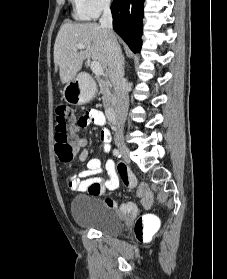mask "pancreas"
<instances>
[{"instance_id": "pancreas-1", "label": "pancreas", "mask_w": 227, "mask_h": 279, "mask_svg": "<svg viewBox=\"0 0 227 279\" xmlns=\"http://www.w3.org/2000/svg\"><path fill=\"white\" fill-rule=\"evenodd\" d=\"M97 80L100 87V93L102 94L103 105L105 108H109L115 103V97L111 88V84L101 79Z\"/></svg>"}]
</instances>
